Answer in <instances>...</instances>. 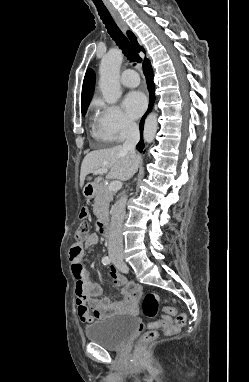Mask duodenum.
<instances>
[{
	"instance_id": "1",
	"label": "duodenum",
	"mask_w": 249,
	"mask_h": 382,
	"mask_svg": "<svg viewBox=\"0 0 249 382\" xmlns=\"http://www.w3.org/2000/svg\"><path fill=\"white\" fill-rule=\"evenodd\" d=\"M94 188V187H93ZM98 231L106 238L110 236L109 224L106 219H99L97 222Z\"/></svg>"
}]
</instances>
